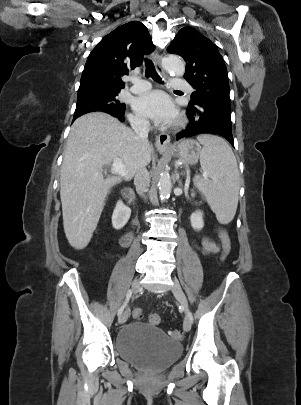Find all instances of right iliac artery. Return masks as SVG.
<instances>
[{"mask_svg":"<svg viewBox=\"0 0 301 405\" xmlns=\"http://www.w3.org/2000/svg\"><path fill=\"white\" fill-rule=\"evenodd\" d=\"M131 296H132V290H128V292L126 294V299H125L123 305L118 310V316H120L122 314V312L124 311V308L126 307L127 303L129 302Z\"/></svg>","mask_w":301,"mask_h":405,"instance_id":"82829eb1","label":"right iliac artery"}]
</instances>
